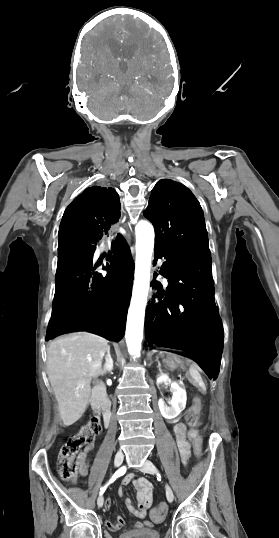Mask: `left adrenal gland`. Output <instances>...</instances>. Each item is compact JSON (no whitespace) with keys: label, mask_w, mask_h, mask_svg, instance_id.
I'll use <instances>...</instances> for the list:
<instances>
[{"label":"left adrenal gland","mask_w":279,"mask_h":538,"mask_svg":"<svg viewBox=\"0 0 279 538\" xmlns=\"http://www.w3.org/2000/svg\"><path fill=\"white\" fill-rule=\"evenodd\" d=\"M156 362H158V366H157V368H159V372H161V364H160L158 358H156Z\"/></svg>","instance_id":"left-adrenal-gland-1"}]
</instances>
